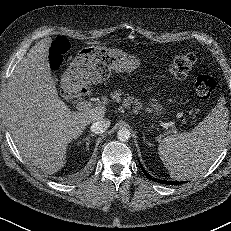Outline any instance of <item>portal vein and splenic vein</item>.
I'll return each instance as SVG.
<instances>
[{"mask_svg":"<svg viewBox=\"0 0 231 231\" xmlns=\"http://www.w3.org/2000/svg\"><path fill=\"white\" fill-rule=\"evenodd\" d=\"M93 106V104L89 101H85V102H79L77 103L76 108L80 111H84V110H89L91 107ZM164 127H174L175 123L174 122H166L163 123Z\"/></svg>","mask_w":231,"mask_h":231,"instance_id":"portal-vein-and-splenic-vein-1","label":"portal vein and splenic vein"}]
</instances>
